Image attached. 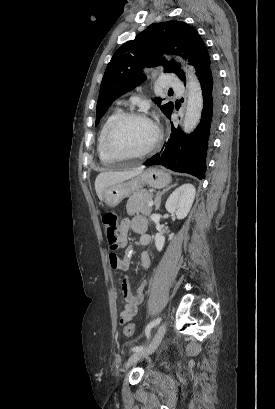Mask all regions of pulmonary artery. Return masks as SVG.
<instances>
[{
  "label": "pulmonary artery",
  "instance_id": "pulmonary-artery-1",
  "mask_svg": "<svg viewBox=\"0 0 275 409\" xmlns=\"http://www.w3.org/2000/svg\"><path fill=\"white\" fill-rule=\"evenodd\" d=\"M177 77V74L174 72L165 74L162 79L159 78L160 80L155 82V85L160 88H179L181 82Z\"/></svg>",
  "mask_w": 275,
  "mask_h": 409
}]
</instances>
